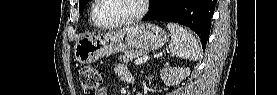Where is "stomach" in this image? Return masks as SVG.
Instances as JSON below:
<instances>
[{"label": "stomach", "mask_w": 277, "mask_h": 95, "mask_svg": "<svg viewBox=\"0 0 277 95\" xmlns=\"http://www.w3.org/2000/svg\"><path fill=\"white\" fill-rule=\"evenodd\" d=\"M167 40L165 31L151 23L135 24L116 31L79 39L74 46V58L80 64L128 49L156 50Z\"/></svg>", "instance_id": "0dacf381"}]
</instances>
